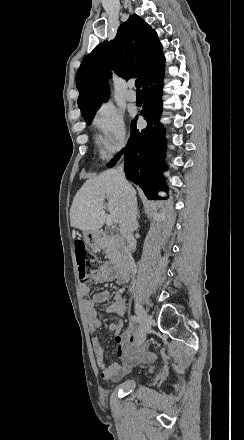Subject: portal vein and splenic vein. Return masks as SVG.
<instances>
[{"instance_id":"portal-vein-and-splenic-vein-1","label":"portal vein and splenic vein","mask_w":244,"mask_h":440,"mask_svg":"<svg viewBox=\"0 0 244 440\" xmlns=\"http://www.w3.org/2000/svg\"><path fill=\"white\" fill-rule=\"evenodd\" d=\"M114 218L112 216H106V224L107 226H113Z\"/></svg>"}]
</instances>
